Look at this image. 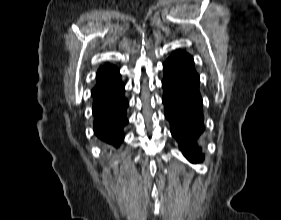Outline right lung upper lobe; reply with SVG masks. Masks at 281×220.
<instances>
[{"instance_id":"cb5924a9","label":"right lung upper lobe","mask_w":281,"mask_h":220,"mask_svg":"<svg viewBox=\"0 0 281 220\" xmlns=\"http://www.w3.org/2000/svg\"><path fill=\"white\" fill-rule=\"evenodd\" d=\"M96 79L95 87L115 84L119 81V69L111 64L101 66L97 71Z\"/></svg>"}]
</instances>
